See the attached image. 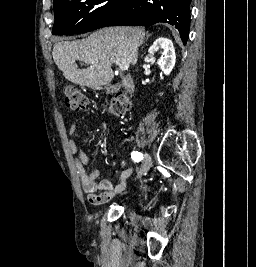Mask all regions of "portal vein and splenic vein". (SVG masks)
Wrapping results in <instances>:
<instances>
[{
	"instance_id": "1",
	"label": "portal vein and splenic vein",
	"mask_w": 256,
	"mask_h": 267,
	"mask_svg": "<svg viewBox=\"0 0 256 267\" xmlns=\"http://www.w3.org/2000/svg\"><path fill=\"white\" fill-rule=\"evenodd\" d=\"M116 66H119V68H120V70H122V72H123V70H128V68H129V64H126V62H124V60H120V62H119V60H117Z\"/></svg>"
}]
</instances>
